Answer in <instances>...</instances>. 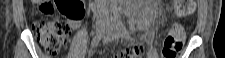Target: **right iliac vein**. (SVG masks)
Segmentation results:
<instances>
[{
	"mask_svg": "<svg viewBox=\"0 0 225 58\" xmlns=\"http://www.w3.org/2000/svg\"><path fill=\"white\" fill-rule=\"evenodd\" d=\"M106 22L104 20H99L96 25V36H102L104 32Z\"/></svg>",
	"mask_w": 225,
	"mask_h": 58,
	"instance_id": "1",
	"label": "right iliac vein"
}]
</instances>
